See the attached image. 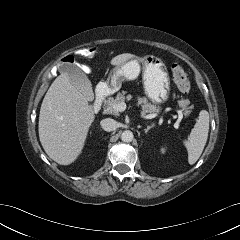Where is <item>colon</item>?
I'll return each mask as SVG.
<instances>
[{"label": "colon", "mask_w": 240, "mask_h": 240, "mask_svg": "<svg viewBox=\"0 0 240 240\" xmlns=\"http://www.w3.org/2000/svg\"><path fill=\"white\" fill-rule=\"evenodd\" d=\"M95 50L93 48H83L76 52V55L90 58L94 56ZM62 63H72L74 61L73 55H68L64 57ZM172 76L177 88L183 92L188 93L191 89V82L186 70L180 65L172 66Z\"/></svg>", "instance_id": "colon-1"}]
</instances>
